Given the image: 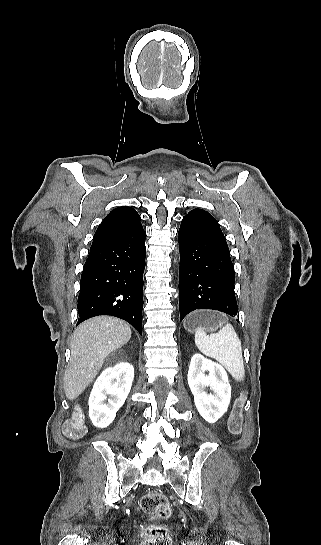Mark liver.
I'll return each instance as SVG.
<instances>
[{
    "instance_id": "6515ba94",
    "label": "liver",
    "mask_w": 321,
    "mask_h": 545,
    "mask_svg": "<svg viewBox=\"0 0 321 545\" xmlns=\"http://www.w3.org/2000/svg\"><path fill=\"white\" fill-rule=\"evenodd\" d=\"M131 329L114 317H94L77 327L71 339V357L64 375L67 399H77L98 375L106 357L128 343Z\"/></svg>"
}]
</instances>
